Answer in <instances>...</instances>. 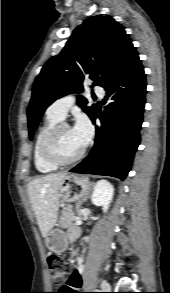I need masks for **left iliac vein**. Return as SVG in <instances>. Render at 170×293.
<instances>
[{"label": "left iliac vein", "mask_w": 170, "mask_h": 293, "mask_svg": "<svg viewBox=\"0 0 170 293\" xmlns=\"http://www.w3.org/2000/svg\"><path fill=\"white\" fill-rule=\"evenodd\" d=\"M101 287H102V288L110 289V284H109L108 282H106V281H103V282L101 283Z\"/></svg>", "instance_id": "left-iliac-vein-1"}]
</instances>
